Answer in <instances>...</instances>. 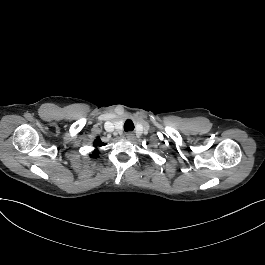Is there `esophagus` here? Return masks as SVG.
<instances>
[{
	"mask_svg": "<svg viewBox=\"0 0 265 265\" xmlns=\"http://www.w3.org/2000/svg\"><path fill=\"white\" fill-rule=\"evenodd\" d=\"M126 138L128 140H131V141L135 140V134L133 132L129 131V132L126 133Z\"/></svg>",
	"mask_w": 265,
	"mask_h": 265,
	"instance_id": "obj_1",
	"label": "esophagus"
}]
</instances>
